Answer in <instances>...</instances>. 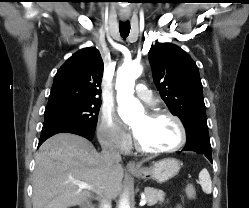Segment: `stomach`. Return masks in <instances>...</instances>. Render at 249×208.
<instances>
[{
    "label": "stomach",
    "mask_w": 249,
    "mask_h": 208,
    "mask_svg": "<svg viewBox=\"0 0 249 208\" xmlns=\"http://www.w3.org/2000/svg\"><path fill=\"white\" fill-rule=\"evenodd\" d=\"M180 170V162L174 158H166L157 161L151 167H143L132 171V174L141 179L150 177L159 183H163L173 178Z\"/></svg>",
    "instance_id": "obj_1"
}]
</instances>
